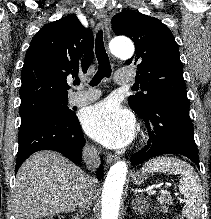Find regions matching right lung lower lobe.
I'll return each instance as SVG.
<instances>
[{"instance_id": "obj_1", "label": "right lung lower lobe", "mask_w": 211, "mask_h": 219, "mask_svg": "<svg viewBox=\"0 0 211 219\" xmlns=\"http://www.w3.org/2000/svg\"><path fill=\"white\" fill-rule=\"evenodd\" d=\"M18 142L16 172L31 154L40 150H54L74 163H81L82 147L85 145L75 114L70 118L44 115L21 123ZM97 178H102V164L97 171Z\"/></svg>"}]
</instances>
